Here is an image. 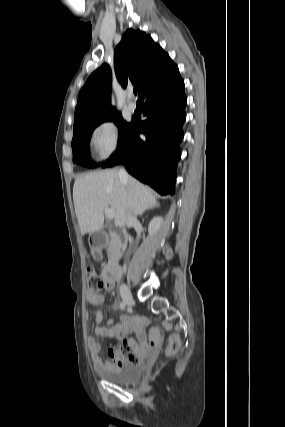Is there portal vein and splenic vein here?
I'll list each match as a JSON object with an SVG mask.
<instances>
[{"mask_svg": "<svg viewBox=\"0 0 285 427\" xmlns=\"http://www.w3.org/2000/svg\"><path fill=\"white\" fill-rule=\"evenodd\" d=\"M104 212L107 218L113 219L115 217V210L109 207L104 208Z\"/></svg>", "mask_w": 285, "mask_h": 427, "instance_id": "18ae733b", "label": "portal vein and splenic vein"}]
</instances>
